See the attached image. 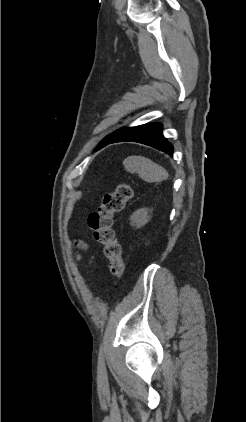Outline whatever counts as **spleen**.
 <instances>
[{
    "label": "spleen",
    "mask_w": 246,
    "mask_h": 422,
    "mask_svg": "<svg viewBox=\"0 0 246 422\" xmlns=\"http://www.w3.org/2000/svg\"><path fill=\"white\" fill-rule=\"evenodd\" d=\"M123 165L126 171L137 173L148 183L161 182L168 178V172L162 166L143 156H129L123 161Z\"/></svg>",
    "instance_id": "obj_1"
}]
</instances>
